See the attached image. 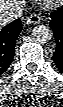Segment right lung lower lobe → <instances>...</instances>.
Listing matches in <instances>:
<instances>
[{"label":"right lung lower lobe","mask_w":63,"mask_h":107,"mask_svg":"<svg viewBox=\"0 0 63 107\" xmlns=\"http://www.w3.org/2000/svg\"><path fill=\"white\" fill-rule=\"evenodd\" d=\"M21 30L22 24L19 19L0 30V75L7 70L13 60L15 41Z\"/></svg>","instance_id":"right-lung-lower-lobe-1"}]
</instances>
